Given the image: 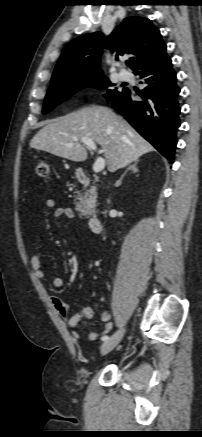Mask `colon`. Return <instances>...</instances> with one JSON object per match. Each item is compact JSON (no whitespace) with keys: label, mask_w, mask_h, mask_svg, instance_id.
Returning <instances> with one entry per match:
<instances>
[{"label":"colon","mask_w":202,"mask_h":437,"mask_svg":"<svg viewBox=\"0 0 202 437\" xmlns=\"http://www.w3.org/2000/svg\"><path fill=\"white\" fill-rule=\"evenodd\" d=\"M35 171H36L37 176L43 177V178L47 177L49 175V171H50L48 161L45 159L40 160L36 165Z\"/></svg>","instance_id":"5ec220e1"}]
</instances>
